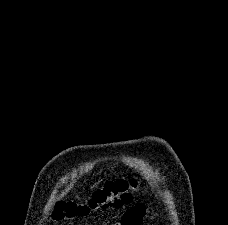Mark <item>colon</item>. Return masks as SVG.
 I'll return each instance as SVG.
<instances>
[{
    "label": "colon",
    "instance_id": "1",
    "mask_svg": "<svg viewBox=\"0 0 228 225\" xmlns=\"http://www.w3.org/2000/svg\"><path fill=\"white\" fill-rule=\"evenodd\" d=\"M140 192L136 179H119L99 188L84 202L59 201L53 211L54 222L71 221L90 215L102 207L125 208L133 201L134 194Z\"/></svg>",
    "mask_w": 228,
    "mask_h": 225
}]
</instances>
